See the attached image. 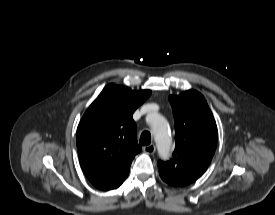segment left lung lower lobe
<instances>
[{
    "label": "left lung lower lobe",
    "instance_id": "1",
    "mask_svg": "<svg viewBox=\"0 0 275 215\" xmlns=\"http://www.w3.org/2000/svg\"><path fill=\"white\" fill-rule=\"evenodd\" d=\"M162 179H163V177H161ZM164 180V179H163ZM165 181V180H164ZM165 182H167V181H165ZM168 184H170V185H173V186H179V185H175V184H172V183H169V182H167Z\"/></svg>",
    "mask_w": 275,
    "mask_h": 215
}]
</instances>
